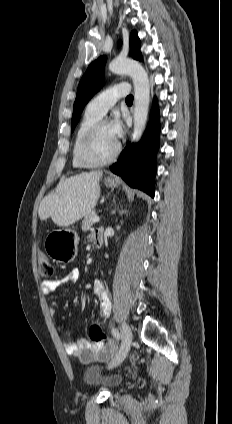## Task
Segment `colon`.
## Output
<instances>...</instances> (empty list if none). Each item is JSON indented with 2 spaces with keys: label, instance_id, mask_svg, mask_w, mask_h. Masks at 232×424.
I'll use <instances>...</instances> for the list:
<instances>
[{
  "label": "colon",
  "instance_id": "colon-1",
  "mask_svg": "<svg viewBox=\"0 0 232 424\" xmlns=\"http://www.w3.org/2000/svg\"><path fill=\"white\" fill-rule=\"evenodd\" d=\"M38 259V270L41 276L50 277L53 275L54 269L44 251L39 250L37 252ZM89 337L94 343L101 345L108 344L109 338L102 331L98 324H92L89 328ZM110 347H115V342H110Z\"/></svg>",
  "mask_w": 232,
  "mask_h": 424
}]
</instances>
